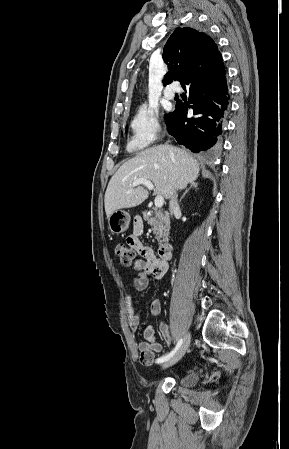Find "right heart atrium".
Instances as JSON below:
<instances>
[{
	"instance_id": "right-heart-atrium-1",
	"label": "right heart atrium",
	"mask_w": 289,
	"mask_h": 449,
	"mask_svg": "<svg viewBox=\"0 0 289 449\" xmlns=\"http://www.w3.org/2000/svg\"><path fill=\"white\" fill-rule=\"evenodd\" d=\"M131 144L143 148L154 143L160 134L161 126L158 112L148 106H140L131 121Z\"/></svg>"
}]
</instances>
